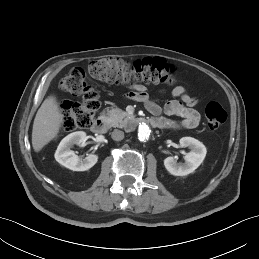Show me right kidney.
<instances>
[{
  "instance_id": "ca27d5eb",
  "label": "right kidney",
  "mask_w": 259,
  "mask_h": 259,
  "mask_svg": "<svg viewBox=\"0 0 259 259\" xmlns=\"http://www.w3.org/2000/svg\"><path fill=\"white\" fill-rule=\"evenodd\" d=\"M85 140L86 133L83 131H77L67 135L62 139L55 152L56 161L73 171H86L93 167L98 161L97 155L90 154L82 160L70 150L73 145H79Z\"/></svg>"
}]
</instances>
